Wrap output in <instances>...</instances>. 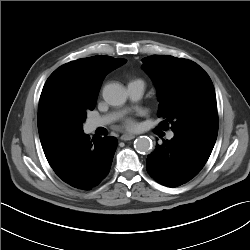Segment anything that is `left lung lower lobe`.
<instances>
[{"instance_id":"1","label":"left lung lower lobe","mask_w":250,"mask_h":250,"mask_svg":"<svg viewBox=\"0 0 250 250\" xmlns=\"http://www.w3.org/2000/svg\"><path fill=\"white\" fill-rule=\"evenodd\" d=\"M218 134V127L175 131L171 140L157 144L146 160L148 173L160 184L180 186L203 168Z\"/></svg>"}]
</instances>
